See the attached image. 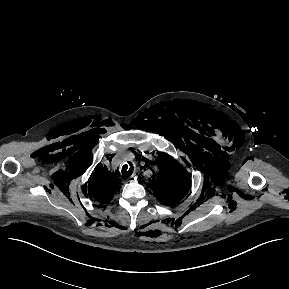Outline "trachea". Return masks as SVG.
<instances>
[{
	"instance_id": "3493384b",
	"label": "trachea",
	"mask_w": 289,
	"mask_h": 289,
	"mask_svg": "<svg viewBox=\"0 0 289 289\" xmlns=\"http://www.w3.org/2000/svg\"><path fill=\"white\" fill-rule=\"evenodd\" d=\"M133 173V165L131 163H129V165H124L122 167V174L125 177H130Z\"/></svg>"
}]
</instances>
